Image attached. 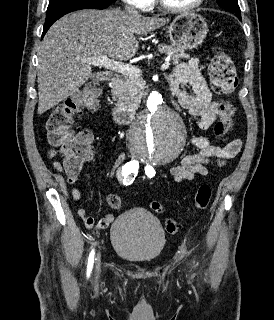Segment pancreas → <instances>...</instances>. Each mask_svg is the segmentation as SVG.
<instances>
[{
  "label": "pancreas",
  "instance_id": "pancreas-1",
  "mask_svg": "<svg viewBox=\"0 0 274 320\" xmlns=\"http://www.w3.org/2000/svg\"><path fill=\"white\" fill-rule=\"evenodd\" d=\"M158 52L171 56L173 64H178L181 58H189L182 48H173V46H158ZM145 82L143 78H133V76H123L122 84L118 88L111 90L113 100H117L121 108L128 110H137L140 104V98L144 96Z\"/></svg>",
  "mask_w": 274,
  "mask_h": 320
}]
</instances>
